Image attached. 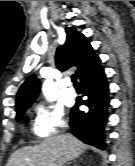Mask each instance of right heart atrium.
<instances>
[{"instance_id":"right-heart-atrium-1","label":"right heart atrium","mask_w":135,"mask_h":166,"mask_svg":"<svg viewBox=\"0 0 135 166\" xmlns=\"http://www.w3.org/2000/svg\"><path fill=\"white\" fill-rule=\"evenodd\" d=\"M33 134L38 139L48 138L65 127L62 109L40 103L34 108Z\"/></svg>"}]
</instances>
